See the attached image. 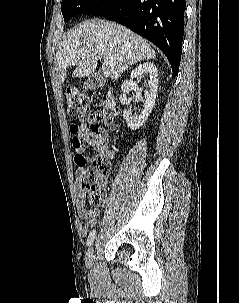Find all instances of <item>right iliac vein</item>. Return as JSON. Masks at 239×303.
<instances>
[{
    "instance_id": "right-iliac-vein-1",
    "label": "right iliac vein",
    "mask_w": 239,
    "mask_h": 303,
    "mask_svg": "<svg viewBox=\"0 0 239 303\" xmlns=\"http://www.w3.org/2000/svg\"><path fill=\"white\" fill-rule=\"evenodd\" d=\"M94 259H95V250L94 247H91L87 254H86V258H85V264L87 266V268H91L94 264Z\"/></svg>"
}]
</instances>
